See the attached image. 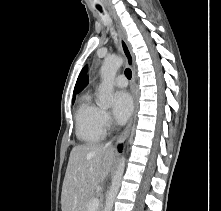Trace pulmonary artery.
Listing matches in <instances>:
<instances>
[{
    "label": "pulmonary artery",
    "mask_w": 221,
    "mask_h": 211,
    "mask_svg": "<svg viewBox=\"0 0 221 211\" xmlns=\"http://www.w3.org/2000/svg\"><path fill=\"white\" fill-rule=\"evenodd\" d=\"M114 84L117 87L124 88L127 86L128 82L124 75H118L114 80Z\"/></svg>",
    "instance_id": "obj_1"
}]
</instances>
